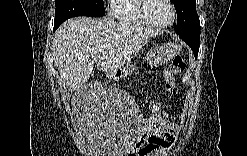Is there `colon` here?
Wrapping results in <instances>:
<instances>
[{"label":"colon","instance_id":"5ec220e1","mask_svg":"<svg viewBox=\"0 0 247 156\" xmlns=\"http://www.w3.org/2000/svg\"><path fill=\"white\" fill-rule=\"evenodd\" d=\"M186 69V60L183 56H175L170 63H168L163 70V78L165 88L170 95H174L177 92V80L178 74ZM165 117L164 110H159L155 107L151 116H148L147 127L143 131V136L147 138L155 137L158 134V130H161L163 124V118Z\"/></svg>","mask_w":247,"mask_h":156}]
</instances>
